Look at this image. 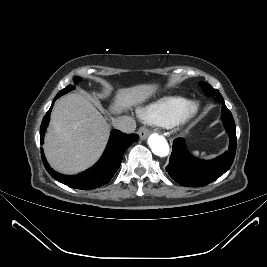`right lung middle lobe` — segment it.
I'll return each mask as SVG.
<instances>
[{
	"instance_id": "obj_1",
	"label": "right lung middle lobe",
	"mask_w": 267,
	"mask_h": 267,
	"mask_svg": "<svg viewBox=\"0 0 267 267\" xmlns=\"http://www.w3.org/2000/svg\"><path fill=\"white\" fill-rule=\"evenodd\" d=\"M80 80H81L80 77H75V78H74V83L77 84ZM72 89H74V86L69 85V86H67L66 88H64L63 90H61V91L58 93V95H59V96H62V95H64V94L70 92Z\"/></svg>"
}]
</instances>
